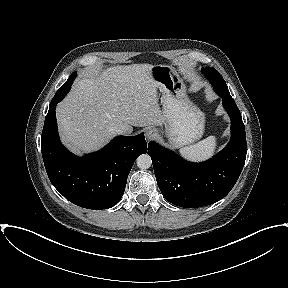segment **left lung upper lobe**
<instances>
[{"instance_id": "obj_1", "label": "left lung upper lobe", "mask_w": 288, "mask_h": 288, "mask_svg": "<svg viewBox=\"0 0 288 288\" xmlns=\"http://www.w3.org/2000/svg\"><path fill=\"white\" fill-rule=\"evenodd\" d=\"M202 71L207 75L218 95L231 97L224 79L215 68L206 67V69L202 68Z\"/></svg>"}]
</instances>
